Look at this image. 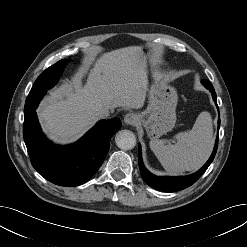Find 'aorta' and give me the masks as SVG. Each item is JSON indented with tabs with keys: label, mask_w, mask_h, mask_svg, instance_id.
Segmentation results:
<instances>
[{
	"label": "aorta",
	"mask_w": 247,
	"mask_h": 247,
	"mask_svg": "<svg viewBox=\"0 0 247 247\" xmlns=\"http://www.w3.org/2000/svg\"><path fill=\"white\" fill-rule=\"evenodd\" d=\"M115 142L120 149L131 150L136 145V137L130 130H120L115 136Z\"/></svg>",
	"instance_id": "obj_1"
}]
</instances>
